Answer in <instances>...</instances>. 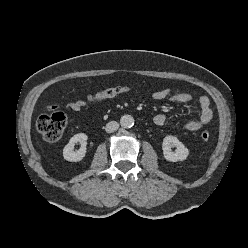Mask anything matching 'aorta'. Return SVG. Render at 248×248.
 I'll return each instance as SVG.
<instances>
[{
  "label": "aorta",
  "instance_id": "obj_1",
  "mask_svg": "<svg viewBox=\"0 0 248 248\" xmlns=\"http://www.w3.org/2000/svg\"><path fill=\"white\" fill-rule=\"evenodd\" d=\"M122 128L128 129L134 125V118L131 115H123L120 119Z\"/></svg>",
  "mask_w": 248,
  "mask_h": 248
}]
</instances>
